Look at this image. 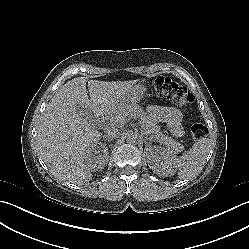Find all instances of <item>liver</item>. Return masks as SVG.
I'll list each match as a JSON object with an SVG mask.
<instances>
[{
	"label": "liver",
	"instance_id": "6515ba94",
	"mask_svg": "<svg viewBox=\"0 0 249 249\" xmlns=\"http://www.w3.org/2000/svg\"><path fill=\"white\" fill-rule=\"evenodd\" d=\"M131 88V84L88 81V98L86 80L67 82L52 99L39 124L37 144L43 160L78 179H90L100 132L93 129L86 113H110Z\"/></svg>",
	"mask_w": 249,
	"mask_h": 249
}]
</instances>
